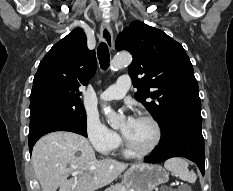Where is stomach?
Here are the masks:
<instances>
[{"label": "stomach", "mask_w": 233, "mask_h": 191, "mask_svg": "<svg viewBox=\"0 0 233 191\" xmlns=\"http://www.w3.org/2000/svg\"><path fill=\"white\" fill-rule=\"evenodd\" d=\"M168 181V173L157 164H135L125 173L122 185L128 191H153L158 185Z\"/></svg>", "instance_id": "1"}]
</instances>
